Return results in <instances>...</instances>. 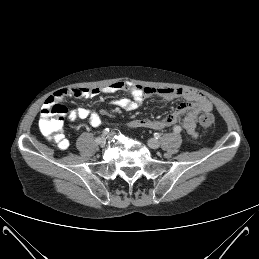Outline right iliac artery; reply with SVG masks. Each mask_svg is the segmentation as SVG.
Listing matches in <instances>:
<instances>
[{"label": "right iliac artery", "mask_w": 259, "mask_h": 259, "mask_svg": "<svg viewBox=\"0 0 259 259\" xmlns=\"http://www.w3.org/2000/svg\"><path fill=\"white\" fill-rule=\"evenodd\" d=\"M100 139H101V138H100V136H98V135L93 137V140H94V141H97V142L100 141Z\"/></svg>", "instance_id": "obj_1"}]
</instances>
